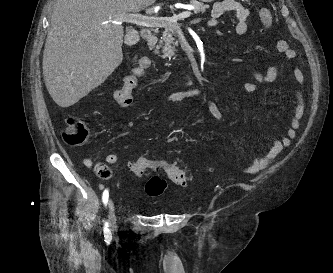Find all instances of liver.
<instances>
[{
	"mask_svg": "<svg viewBox=\"0 0 333 273\" xmlns=\"http://www.w3.org/2000/svg\"><path fill=\"white\" fill-rule=\"evenodd\" d=\"M156 0H56L43 52V76L55 103L67 108L121 64L124 29L117 18Z\"/></svg>",
	"mask_w": 333,
	"mask_h": 273,
	"instance_id": "1",
	"label": "liver"
}]
</instances>
